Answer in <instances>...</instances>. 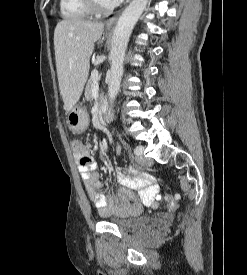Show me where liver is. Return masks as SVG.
Segmentation results:
<instances>
[{
	"mask_svg": "<svg viewBox=\"0 0 247 275\" xmlns=\"http://www.w3.org/2000/svg\"><path fill=\"white\" fill-rule=\"evenodd\" d=\"M104 30L102 22L80 18L60 21L54 31L57 77L64 108L69 112L81 97L89 74L94 43Z\"/></svg>",
	"mask_w": 247,
	"mask_h": 275,
	"instance_id": "obj_1",
	"label": "liver"
}]
</instances>
